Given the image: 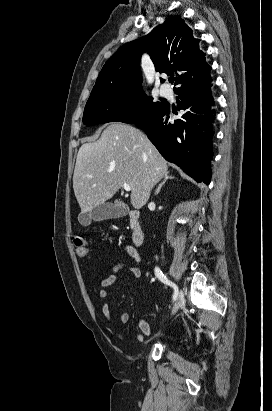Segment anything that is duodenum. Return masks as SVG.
Segmentation results:
<instances>
[{
    "label": "duodenum",
    "mask_w": 272,
    "mask_h": 411,
    "mask_svg": "<svg viewBox=\"0 0 272 411\" xmlns=\"http://www.w3.org/2000/svg\"><path fill=\"white\" fill-rule=\"evenodd\" d=\"M131 239L135 246H141L145 240V233L139 222V212L137 210H130L127 213Z\"/></svg>",
    "instance_id": "duodenum-1"
}]
</instances>
